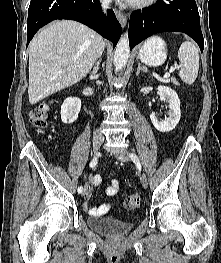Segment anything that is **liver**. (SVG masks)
<instances>
[{"label":"liver","instance_id":"obj_1","mask_svg":"<svg viewBox=\"0 0 221 263\" xmlns=\"http://www.w3.org/2000/svg\"><path fill=\"white\" fill-rule=\"evenodd\" d=\"M89 27L61 20L43 28L29 45L30 104L81 81L104 48ZM105 45V44H104Z\"/></svg>","mask_w":221,"mask_h":263}]
</instances>
